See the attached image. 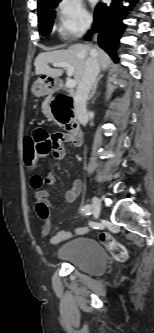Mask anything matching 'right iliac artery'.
Here are the masks:
<instances>
[{
	"label": "right iliac artery",
	"instance_id": "82829eb1",
	"mask_svg": "<svg viewBox=\"0 0 154 333\" xmlns=\"http://www.w3.org/2000/svg\"><path fill=\"white\" fill-rule=\"evenodd\" d=\"M91 211H92V207H91L90 204L84 205V206L81 208V212L84 213L86 216L90 215V214H91Z\"/></svg>",
	"mask_w": 154,
	"mask_h": 333
}]
</instances>
